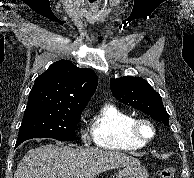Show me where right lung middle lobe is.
<instances>
[{"instance_id": "obj_1", "label": "right lung middle lobe", "mask_w": 194, "mask_h": 178, "mask_svg": "<svg viewBox=\"0 0 194 178\" xmlns=\"http://www.w3.org/2000/svg\"><path fill=\"white\" fill-rule=\"evenodd\" d=\"M82 110L71 109L48 100H31L25 109L17 141L31 138L75 140V128Z\"/></svg>"}]
</instances>
